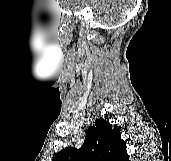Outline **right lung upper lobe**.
<instances>
[{
  "label": "right lung upper lobe",
  "mask_w": 171,
  "mask_h": 161,
  "mask_svg": "<svg viewBox=\"0 0 171 161\" xmlns=\"http://www.w3.org/2000/svg\"><path fill=\"white\" fill-rule=\"evenodd\" d=\"M52 161H129V156L120 130L103 119H97L95 126L86 131L81 148H66Z\"/></svg>",
  "instance_id": "1"
}]
</instances>
